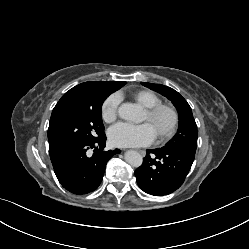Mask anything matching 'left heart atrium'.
<instances>
[{"label":"left heart atrium","instance_id":"1","mask_svg":"<svg viewBox=\"0 0 249 249\" xmlns=\"http://www.w3.org/2000/svg\"><path fill=\"white\" fill-rule=\"evenodd\" d=\"M108 137L110 143L117 147H141L151 144L156 133L150 123H118L110 128Z\"/></svg>","mask_w":249,"mask_h":249}]
</instances>
